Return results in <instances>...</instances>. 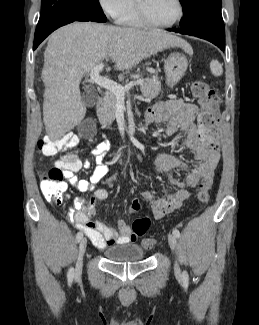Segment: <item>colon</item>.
Instances as JSON below:
<instances>
[{
	"mask_svg": "<svg viewBox=\"0 0 259 325\" xmlns=\"http://www.w3.org/2000/svg\"><path fill=\"white\" fill-rule=\"evenodd\" d=\"M189 90L193 96L208 112L203 118V124L206 129H219L220 123L217 122V100L214 90L205 82L195 80L189 83ZM80 145L76 135L68 133L58 140H39L38 148L47 155L56 154L60 150L78 148ZM213 176L203 179L198 193V200L205 205L210 198V188ZM40 189L47 201L60 203L63 193L66 190V183L63 169L59 166L51 168L41 177ZM141 205L134 201L129 211H138ZM150 225V220L146 217L134 220L132 224L133 232L138 236H143ZM142 245L145 249H153L157 246L154 238L148 237L143 239Z\"/></svg>",
	"mask_w": 259,
	"mask_h": 325,
	"instance_id": "colon-1",
	"label": "colon"
}]
</instances>
